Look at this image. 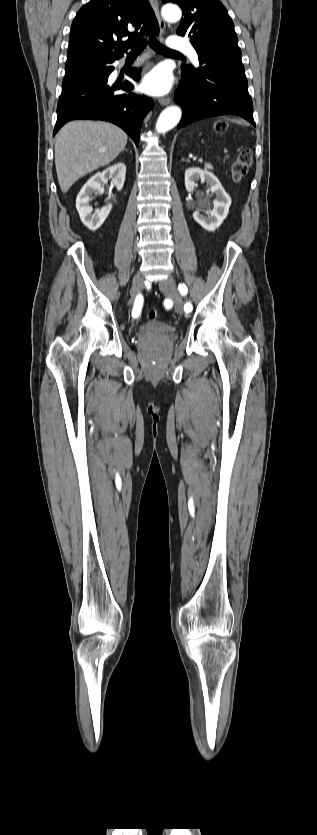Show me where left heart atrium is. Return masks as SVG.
I'll use <instances>...</instances> for the list:
<instances>
[{
    "label": "left heart atrium",
    "mask_w": 317,
    "mask_h": 835,
    "mask_svg": "<svg viewBox=\"0 0 317 835\" xmlns=\"http://www.w3.org/2000/svg\"><path fill=\"white\" fill-rule=\"evenodd\" d=\"M171 87V79L169 72L157 67L151 70L143 79L141 89L152 95H162L169 91Z\"/></svg>",
    "instance_id": "39dd6f15"
}]
</instances>
